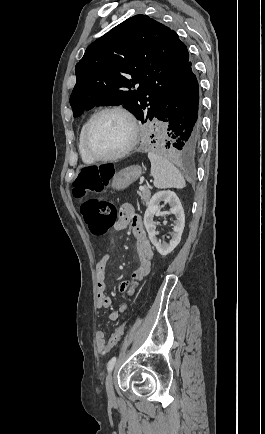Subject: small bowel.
<instances>
[{"label":"small bowel","instance_id":"c3829d8e","mask_svg":"<svg viewBox=\"0 0 265 434\" xmlns=\"http://www.w3.org/2000/svg\"><path fill=\"white\" fill-rule=\"evenodd\" d=\"M116 230H125L129 228L136 239V250L139 258L138 267L132 273L129 281H122L119 284L121 293L129 298L134 295L137 286L141 280L149 275L151 271V262L154 256L153 247L147 236L141 217L134 211L133 207L129 204H125L120 208L118 218L114 225ZM110 260L109 254H104L97 262L95 267L96 277V299L97 307L100 309H107L112 306V300L107 295L106 284V270ZM128 311L126 304H121L117 310H112L109 313V319L111 321H117L121 313ZM104 323V319H100V324ZM106 335L104 331H97L95 334V340L97 347L100 351L103 350V342L106 341Z\"/></svg>","mask_w":265,"mask_h":434}]
</instances>
